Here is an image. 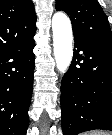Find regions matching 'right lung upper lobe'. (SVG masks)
I'll use <instances>...</instances> for the list:
<instances>
[{
    "label": "right lung upper lobe",
    "mask_w": 112,
    "mask_h": 135,
    "mask_svg": "<svg viewBox=\"0 0 112 135\" xmlns=\"http://www.w3.org/2000/svg\"><path fill=\"white\" fill-rule=\"evenodd\" d=\"M36 14L31 0H0V54L34 35Z\"/></svg>",
    "instance_id": "1"
}]
</instances>
